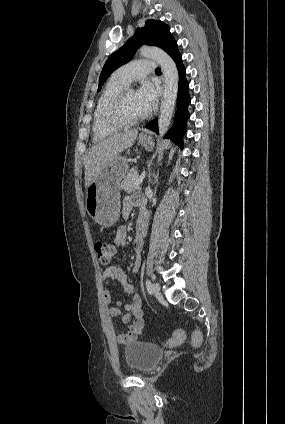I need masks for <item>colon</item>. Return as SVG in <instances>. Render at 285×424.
I'll use <instances>...</instances> for the list:
<instances>
[{"label": "colon", "instance_id": "1", "mask_svg": "<svg viewBox=\"0 0 285 424\" xmlns=\"http://www.w3.org/2000/svg\"><path fill=\"white\" fill-rule=\"evenodd\" d=\"M95 251L97 254L98 261L101 264H108L112 258V256L115 253V248L104 242V241H97L95 243ZM203 333L200 330L195 331L193 335V341L195 344H199L203 340ZM186 338L185 333L182 330L176 331L169 339L170 344H177L184 341Z\"/></svg>", "mask_w": 285, "mask_h": 424}]
</instances>
